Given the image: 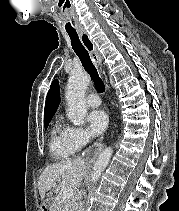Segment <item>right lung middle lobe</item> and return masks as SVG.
<instances>
[{"label":"right lung middle lobe","mask_w":179,"mask_h":211,"mask_svg":"<svg viewBox=\"0 0 179 211\" xmlns=\"http://www.w3.org/2000/svg\"><path fill=\"white\" fill-rule=\"evenodd\" d=\"M51 118H52V117L47 118V119H44V126H45V129L48 127L49 122L51 121Z\"/></svg>","instance_id":"1"}]
</instances>
